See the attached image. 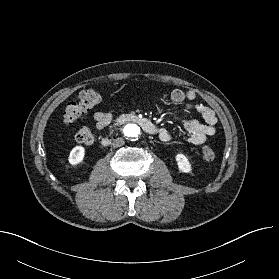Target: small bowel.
<instances>
[{
	"label": "small bowel",
	"instance_id": "small-bowel-1",
	"mask_svg": "<svg viewBox=\"0 0 279 279\" xmlns=\"http://www.w3.org/2000/svg\"><path fill=\"white\" fill-rule=\"evenodd\" d=\"M170 99L174 103H182L187 100L190 101L183 111V126L185 128L184 140L193 145H200L204 143L209 137L213 136L216 132L215 125L217 123V117L214 111L201 103H194L193 101L196 99V93L194 90H181V89H173L170 93ZM190 112H196L201 115L204 120V123L199 122L195 119L188 118V114ZM113 119V114L110 112H95L94 120L96 122V127L99 130H103L106 128ZM157 134L159 138L168 142L172 139V133L167 128L161 127L156 128Z\"/></svg>",
	"mask_w": 279,
	"mask_h": 279
}]
</instances>
